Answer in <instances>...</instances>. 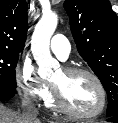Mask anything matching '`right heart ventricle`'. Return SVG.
<instances>
[{
    "mask_svg": "<svg viewBox=\"0 0 118 123\" xmlns=\"http://www.w3.org/2000/svg\"><path fill=\"white\" fill-rule=\"evenodd\" d=\"M46 105L49 107H54V102L53 99L50 95H48V97L45 99Z\"/></svg>",
    "mask_w": 118,
    "mask_h": 123,
    "instance_id": "1",
    "label": "right heart ventricle"
}]
</instances>
